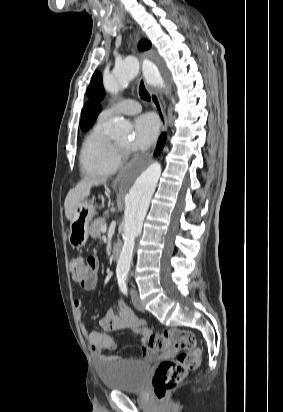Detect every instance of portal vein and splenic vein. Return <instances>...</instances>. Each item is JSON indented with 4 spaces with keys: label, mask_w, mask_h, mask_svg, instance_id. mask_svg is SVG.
I'll return each mask as SVG.
<instances>
[{
    "label": "portal vein and splenic vein",
    "mask_w": 283,
    "mask_h": 412,
    "mask_svg": "<svg viewBox=\"0 0 283 412\" xmlns=\"http://www.w3.org/2000/svg\"><path fill=\"white\" fill-rule=\"evenodd\" d=\"M100 230H101L102 233H105L106 230H107L106 225L101 226V229H100Z\"/></svg>",
    "instance_id": "1"
}]
</instances>
